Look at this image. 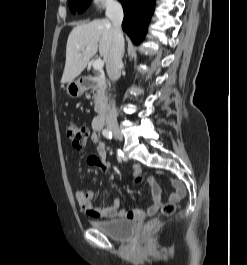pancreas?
I'll return each mask as SVG.
<instances>
[{"label": "pancreas", "mask_w": 247, "mask_h": 265, "mask_svg": "<svg viewBox=\"0 0 247 265\" xmlns=\"http://www.w3.org/2000/svg\"><path fill=\"white\" fill-rule=\"evenodd\" d=\"M94 80L96 81L97 85L93 87L94 93V110L96 112H99L106 102V86L104 84V81L101 77H95Z\"/></svg>", "instance_id": "pancreas-1"}]
</instances>
